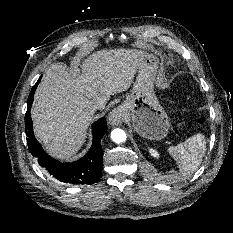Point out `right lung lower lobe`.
Instances as JSON below:
<instances>
[{"mask_svg":"<svg viewBox=\"0 0 233 233\" xmlns=\"http://www.w3.org/2000/svg\"><path fill=\"white\" fill-rule=\"evenodd\" d=\"M41 77L33 86L29 98L27 112L25 114V128L27 134V144L31 154L38 160L40 166L45 168L49 174L61 182L73 185H91L95 183L103 167V150L101 138L107 130L106 119L101 118L92 125L93 143L89 152L78 161L72 163H61L54 160L44 152L38 141L35 139L32 129V119L30 109L34 98V93Z\"/></svg>","mask_w":233,"mask_h":233,"instance_id":"obj_1","label":"right lung lower lobe"}]
</instances>
